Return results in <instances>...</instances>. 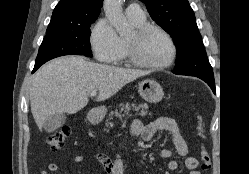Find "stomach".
Returning <instances> with one entry per match:
<instances>
[{
	"label": "stomach",
	"instance_id": "1",
	"mask_svg": "<svg viewBox=\"0 0 249 174\" xmlns=\"http://www.w3.org/2000/svg\"><path fill=\"white\" fill-rule=\"evenodd\" d=\"M139 93L145 101L150 103H157L161 101L164 96L160 84L150 79L143 80L139 83ZM106 112V108L101 106L92 110L88 116L91 121L98 122L104 118Z\"/></svg>",
	"mask_w": 249,
	"mask_h": 174
}]
</instances>
